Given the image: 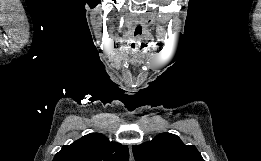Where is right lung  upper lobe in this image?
Wrapping results in <instances>:
<instances>
[{
    "label": "right lung upper lobe",
    "instance_id": "1",
    "mask_svg": "<svg viewBox=\"0 0 261 161\" xmlns=\"http://www.w3.org/2000/svg\"><path fill=\"white\" fill-rule=\"evenodd\" d=\"M128 146L110 142L100 133L83 136L71 145L63 146L53 161H127Z\"/></svg>",
    "mask_w": 261,
    "mask_h": 161
}]
</instances>
